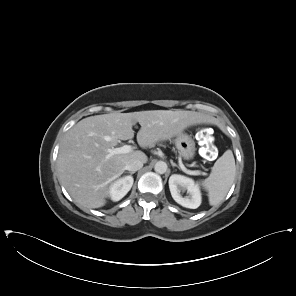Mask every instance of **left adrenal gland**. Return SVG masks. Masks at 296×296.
Instances as JSON below:
<instances>
[{
	"label": "left adrenal gland",
	"mask_w": 296,
	"mask_h": 296,
	"mask_svg": "<svg viewBox=\"0 0 296 296\" xmlns=\"http://www.w3.org/2000/svg\"><path fill=\"white\" fill-rule=\"evenodd\" d=\"M171 165L173 166V167H177L178 169H181L176 163H174L173 161H171Z\"/></svg>",
	"instance_id": "left-adrenal-gland-1"
}]
</instances>
